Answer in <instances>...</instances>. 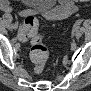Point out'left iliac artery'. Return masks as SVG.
<instances>
[{
	"instance_id": "obj_1",
	"label": "left iliac artery",
	"mask_w": 91,
	"mask_h": 91,
	"mask_svg": "<svg viewBox=\"0 0 91 91\" xmlns=\"http://www.w3.org/2000/svg\"><path fill=\"white\" fill-rule=\"evenodd\" d=\"M83 22H84V19H83V18H80L77 22H75V23L73 24V27H74V28H77V27L81 26ZM81 30H82V29H81Z\"/></svg>"
}]
</instances>
